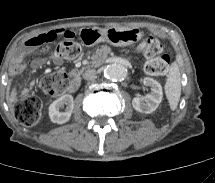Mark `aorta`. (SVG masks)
Wrapping results in <instances>:
<instances>
[{"label": "aorta", "instance_id": "762f6f07", "mask_svg": "<svg viewBox=\"0 0 215 183\" xmlns=\"http://www.w3.org/2000/svg\"><path fill=\"white\" fill-rule=\"evenodd\" d=\"M103 75L112 81H123L128 75V70L122 64L112 63L104 67Z\"/></svg>", "mask_w": 215, "mask_h": 183}]
</instances>
